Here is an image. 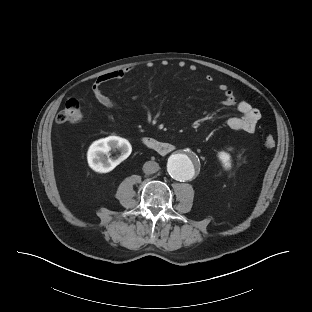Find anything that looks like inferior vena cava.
<instances>
[{"mask_svg": "<svg viewBox=\"0 0 312 312\" xmlns=\"http://www.w3.org/2000/svg\"><path fill=\"white\" fill-rule=\"evenodd\" d=\"M159 169V164L155 161H148L143 165V171L146 174L156 173Z\"/></svg>", "mask_w": 312, "mask_h": 312, "instance_id": "1", "label": "inferior vena cava"}]
</instances>
